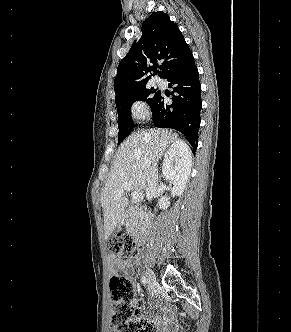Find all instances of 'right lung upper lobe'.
Instances as JSON below:
<instances>
[{
    "label": "right lung upper lobe",
    "instance_id": "cb5924a9",
    "mask_svg": "<svg viewBox=\"0 0 291 332\" xmlns=\"http://www.w3.org/2000/svg\"><path fill=\"white\" fill-rule=\"evenodd\" d=\"M142 36L134 42L128 54L121 60L114 80L116 100L145 87L157 68L160 77L192 58L178 26L164 12L152 13L142 24ZM158 62H162L158 65ZM154 72L150 74V72Z\"/></svg>",
    "mask_w": 291,
    "mask_h": 332
}]
</instances>
